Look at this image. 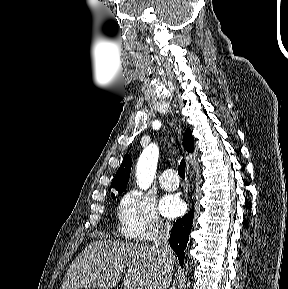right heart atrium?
Instances as JSON below:
<instances>
[{"instance_id": "d8ad5b80", "label": "right heart atrium", "mask_w": 288, "mask_h": 289, "mask_svg": "<svg viewBox=\"0 0 288 289\" xmlns=\"http://www.w3.org/2000/svg\"><path fill=\"white\" fill-rule=\"evenodd\" d=\"M118 213L121 231L129 239L152 241L168 231L154 200L141 191L127 192L120 201Z\"/></svg>"}]
</instances>
